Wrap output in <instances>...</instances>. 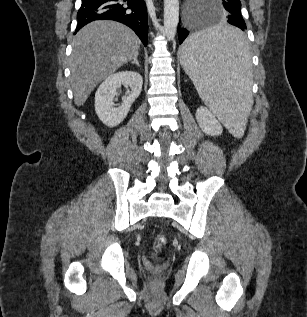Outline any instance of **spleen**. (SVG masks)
I'll return each mask as SVG.
<instances>
[{
    "label": "spleen",
    "instance_id": "3e777b00",
    "mask_svg": "<svg viewBox=\"0 0 307 317\" xmlns=\"http://www.w3.org/2000/svg\"><path fill=\"white\" fill-rule=\"evenodd\" d=\"M180 62L209 109L235 137L253 104L248 37L234 26H203L182 45Z\"/></svg>",
    "mask_w": 307,
    "mask_h": 317
}]
</instances>
